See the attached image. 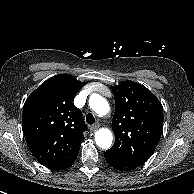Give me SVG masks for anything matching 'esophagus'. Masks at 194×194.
Returning <instances> with one entry per match:
<instances>
[{"label":"esophagus","instance_id":"1","mask_svg":"<svg viewBox=\"0 0 194 194\" xmlns=\"http://www.w3.org/2000/svg\"><path fill=\"white\" fill-rule=\"evenodd\" d=\"M100 127L99 123H95L94 125L90 126V131L94 132Z\"/></svg>","mask_w":194,"mask_h":194}]
</instances>
